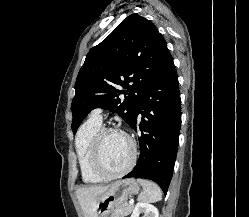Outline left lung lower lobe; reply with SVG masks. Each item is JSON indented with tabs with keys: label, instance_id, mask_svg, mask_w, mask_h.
<instances>
[{
	"label": "left lung lower lobe",
	"instance_id": "0a47b994",
	"mask_svg": "<svg viewBox=\"0 0 249 217\" xmlns=\"http://www.w3.org/2000/svg\"><path fill=\"white\" fill-rule=\"evenodd\" d=\"M140 113V157L135 168L124 178L150 179L166 194L173 175L181 127L178 76L171 54L136 106L130 124L135 131Z\"/></svg>",
	"mask_w": 249,
	"mask_h": 217
}]
</instances>
